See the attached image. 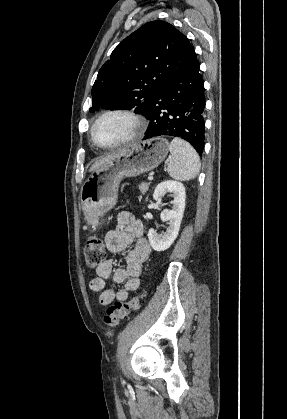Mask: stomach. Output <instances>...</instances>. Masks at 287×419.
<instances>
[{
	"instance_id": "1",
	"label": "stomach",
	"mask_w": 287,
	"mask_h": 419,
	"mask_svg": "<svg viewBox=\"0 0 287 419\" xmlns=\"http://www.w3.org/2000/svg\"><path fill=\"white\" fill-rule=\"evenodd\" d=\"M169 146L165 138L154 137L121 150L94 170L80 191L86 218L95 220L111 210L120 182L155 169L167 156Z\"/></svg>"
}]
</instances>
